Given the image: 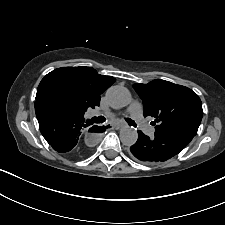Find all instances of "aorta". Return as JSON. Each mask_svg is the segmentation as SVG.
<instances>
[{"mask_svg":"<svg viewBox=\"0 0 225 225\" xmlns=\"http://www.w3.org/2000/svg\"><path fill=\"white\" fill-rule=\"evenodd\" d=\"M109 104L114 108H122L130 104L131 94L123 86H112L106 93ZM138 139V133L135 128L123 127L120 130V140L123 145L131 146L136 143Z\"/></svg>","mask_w":225,"mask_h":225,"instance_id":"762f6f07","label":"aorta"}]
</instances>
